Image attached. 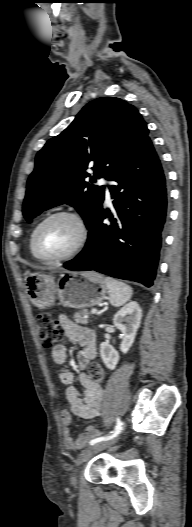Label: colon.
Here are the masks:
<instances>
[{
	"label": "colon",
	"mask_w": 192,
	"mask_h": 527,
	"mask_svg": "<svg viewBox=\"0 0 192 527\" xmlns=\"http://www.w3.org/2000/svg\"><path fill=\"white\" fill-rule=\"evenodd\" d=\"M35 323L39 339L45 347H52L65 338V331L58 320L45 313L36 315ZM89 378L97 384L103 383L105 373L100 365L93 363L89 368Z\"/></svg>",
	"instance_id": "1"
}]
</instances>
